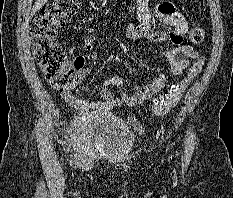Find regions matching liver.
<instances>
[{
  "label": "liver",
  "mask_w": 233,
  "mask_h": 198,
  "mask_svg": "<svg viewBox=\"0 0 233 198\" xmlns=\"http://www.w3.org/2000/svg\"><path fill=\"white\" fill-rule=\"evenodd\" d=\"M48 0H36L34 5H33V8L31 10V17L42 7L45 5V3H47Z\"/></svg>",
  "instance_id": "obj_1"
}]
</instances>
